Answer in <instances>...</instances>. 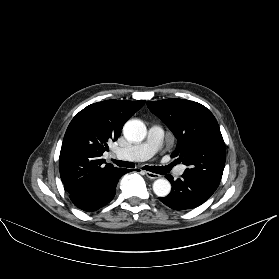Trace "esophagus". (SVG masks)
<instances>
[{
  "label": "esophagus",
  "mask_w": 279,
  "mask_h": 279,
  "mask_svg": "<svg viewBox=\"0 0 279 279\" xmlns=\"http://www.w3.org/2000/svg\"><path fill=\"white\" fill-rule=\"evenodd\" d=\"M145 174L150 179H157V178L160 177V175H158L156 173L149 172V171H146Z\"/></svg>",
  "instance_id": "34e87169"
}]
</instances>
